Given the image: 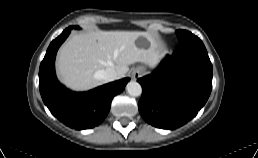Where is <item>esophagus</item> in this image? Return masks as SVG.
Instances as JSON below:
<instances>
[{"mask_svg":"<svg viewBox=\"0 0 258 158\" xmlns=\"http://www.w3.org/2000/svg\"><path fill=\"white\" fill-rule=\"evenodd\" d=\"M141 76H142V70H141V69H138V68L134 69V70L132 71V73H131V77H132L133 79H137V78H139V77H141Z\"/></svg>","mask_w":258,"mask_h":158,"instance_id":"esophagus-1","label":"esophagus"}]
</instances>
